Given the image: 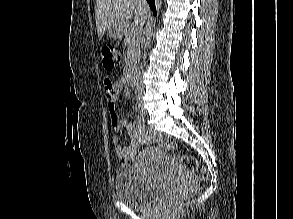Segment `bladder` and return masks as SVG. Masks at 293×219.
I'll return each mask as SVG.
<instances>
[{"instance_id":"31cf9c89","label":"bladder","mask_w":293,"mask_h":219,"mask_svg":"<svg viewBox=\"0 0 293 219\" xmlns=\"http://www.w3.org/2000/svg\"><path fill=\"white\" fill-rule=\"evenodd\" d=\"M116 199L131 208H146L167 188L165 181H149L132 165L120 166L115 175Z\"/></svg>"}]
</instances>
